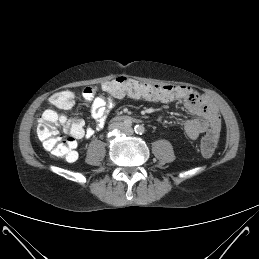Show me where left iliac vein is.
<instances>
[{
  "instance_id": "obj_1",
  "label": "left iliac vein",
  "mask_w": 259,
  "mask_h": 259,
  "mask_svg": "<svg viewBox=\"0 0 259 259\" xmlns=\"http://www.w3.org/2000/svg\"><path fill=\"white\" fill-rule=\"evenodd\" d=\"M126 132L132 134V133H133V130H132V129H126Z\"/></svg>"
}]
</instances>
